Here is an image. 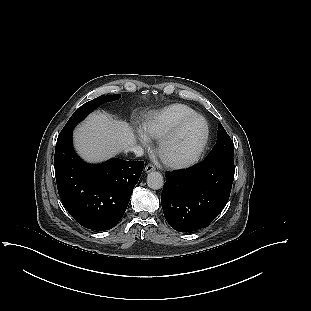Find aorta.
I'll return each instance as SVG.
<instances>
[{"label": "aorta", "instance_id": "obj_1", "mask_svg": "<svg viewBox=\"0 0 311 311\" xmlns=\"http://www.w3.org/2000/svg\"><path fill=\"white\" fill-rule=\"evenodd\" d=\"M147 185L153 190L161 189L164 185V179L160 172L152 171L147 176Z\"/></svg>", "mask_w": 311, "mask_h": 311}]
</instances>
